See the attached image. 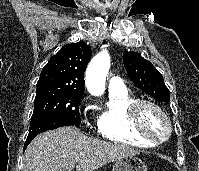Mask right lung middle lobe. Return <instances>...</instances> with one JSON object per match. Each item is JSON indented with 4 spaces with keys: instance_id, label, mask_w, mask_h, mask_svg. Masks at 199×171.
I'll return each instance as SVG.
<instances>
[{
    "instance_id": "dd1d6c3e",
    "label": "right lung middle lobe",
    "mask_w": 199,
    "mask_h": 171,
    "mask_svg": "<svg viewBox=\"0 0 199 171\" xmlns=\"http://www.w3.org/2000/svg\"><path fill=\"white\" fill-rule=\"evenodd\" d=\"M81 93L55 87H37L31 121L45 116H57L79 126Z\"/></svg>"
}]
</instances>
